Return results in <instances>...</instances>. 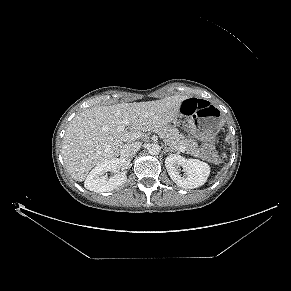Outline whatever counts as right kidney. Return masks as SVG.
<instances>
[{"label": "right kidney", "mask_w": 291, "mask_h": 291, "mask_svg": "<svg viewBox=\"0 0 291 291\" xmlns=\"http://www.w3.org/2000/svg\"><path fill=\"white\" fill-rule=\"evenodd\" d=\"M120 167V162L117 158L107 160L97 165L88 174L84 186L90 191L97 193L110 192L123 185L127 176L124 173H117L108 178L106 172H117Z\"/></svg>", "instance_id": "ca27d5eb"}]
</instances>
